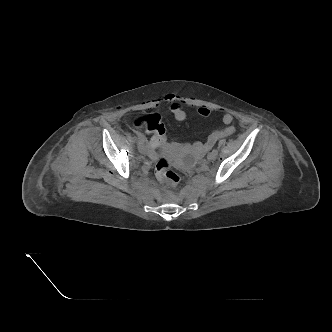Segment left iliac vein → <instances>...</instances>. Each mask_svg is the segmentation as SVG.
<instances>
[{
  "instance_id": "4c4485c4",
  "label": "left iliac vein",
  "mask_w": 332,
  "mask_h": 332,
  "mask_svg": "<svg viewBox=\"0 0 332 332\" xmlns=\"http://www.w3.org/2000/svg\"><path fill=\"white\" fill-rule=\"evenodd\" d=\"M216 156L217 155H215L213 152H211L207 155V159L211 161V160H214L216 158Z\"/></svg>"
}]
</instances>
